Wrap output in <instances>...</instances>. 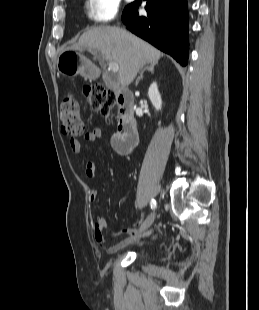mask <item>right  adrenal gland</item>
I'll return each mask as SVG.
<instances>
[{"instance_id": "right-adrenal-gland-1", "label": "right adrenal gland", "mask_w": 259, "mask_h": 310, "mask_svg": "<svg viewBox=\"0 0 259 310\" xmlns=\"http://www.w3.org/2000/svg\"><path fill=\"white\" fill-rule=\"evenodd\" d=\"M158 62L150 63L148 66H146L144 69L141 70L140 76L136 80V85H138L139 81L143 78L144 71H150L152 74L154 73V67Z\"/></svg>"}]
</instances>
